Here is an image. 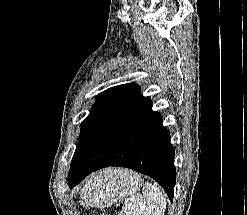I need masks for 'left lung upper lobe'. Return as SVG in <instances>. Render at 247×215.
I'll use <instances>...</instances> for the list:
<instances>
[{
  "label": "left lung upper lobe",
  "mask_w": 247,
  "mask_h": 215,
  "mask_svg": "<svg viewBox=\"0 0 247 215\" xmlns=\"http://www.w3.org/2000/svg\"><path fill=\"white\" fill-rule=\"evenodd\" d=\"M140 96L137 84H123L98 94L90 114L81 123L76 150L88 139H98ZM75 150V152H76Z\"/></svg>",
  "instance_id": "5c2ea615"
}]
</instances>
